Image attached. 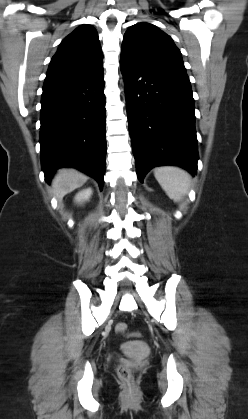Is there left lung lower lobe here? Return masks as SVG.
I'll return each mask as SVG.
<instances>
[{
  "mask_svg": "<svg viewBox=\"0 0 248 419\" xmlns=\"http://www.w3.org/2000/svg\"><path fill=\"white\" fill-rule=\"evenodd\" d=\"M120 67L139 180L161 165H178L194 175L198 152L190 81L123 58Z\"/></svg>",
  "mask_w": 248,
  "mask_h": 419,
  "instance_id": "left-lung-lower-lobe-1",
  "label": "left lung lower lobe"
}]
</instances>
